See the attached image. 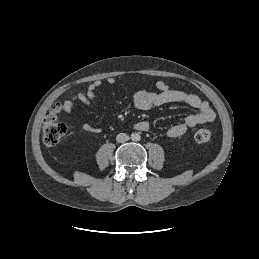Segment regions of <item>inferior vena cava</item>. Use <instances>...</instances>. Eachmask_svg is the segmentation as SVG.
Instances as JSON below:
<instances>
[{"label": "inferior vena cava", "instance_id": "obj_1", "mask_svg": "<svg viewBox=\"0 0 259 259\" xmlns=\"http://www.w3.org/2000/svg\"><path fill=\"white\" fill-rule=\"evenodd\" d=\"M129 140V136L125 133H119L117 136H116V141L118 143H124V142H127Z\"/></svg>", "mask_w": 259, "mask_h": 259}]
</instances>
